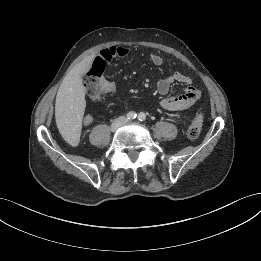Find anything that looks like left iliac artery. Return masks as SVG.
Here are the masks:
<instances>
[{
    "instance_id": "1",
    "label": "left iliac artery",
    "mask_w": 261,
    "mask_h": 261,
    "mask_svg": "<svg viewBox=\"0 0 261 261\" xmlns=\"http://www.w3.org/2000/svg\"><path fill=\"white\" fill-rule=\"evenodd\" d=\"M146 119V115L143 113V112H141L139 115H138V120L139 121H144Z\"/></svg>"
}]
</instances>
